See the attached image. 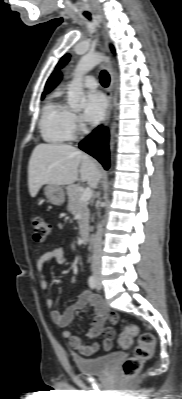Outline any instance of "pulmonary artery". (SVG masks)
Masks as SVG:
<instances>
[{"instance_id":"obj_1","label":"pulmonary artery","mask_w":182,"mask_h":399,"mask_svg":"<svg viewBox=\"0 0 182 399\" xmlns=\"http://www.w3.org/2000/svg\"><path fill=\"white\" fill-rule=\"evenodd\" d=\"M83 85L89 89H96L98 86V82L93 76L88 75V76L84 77Z\"/></svg>"}]
</instances>
